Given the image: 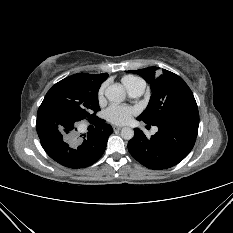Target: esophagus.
Instances as JSON below:
<instances>
[{"mask_svg":"<svg viewBox=\"0 0 233 233\" xmlns=\"http://www.w3.org/2000/svg\"><path fill=\"white\" fill-rule=\"evenodd\" d=\"M122 129L121 126H113L114 131H120Z\"/></svg>","mask_w":233,"mask_h":233,"instance_id":"34e87169","label":"esophagus"}]
</instances>
